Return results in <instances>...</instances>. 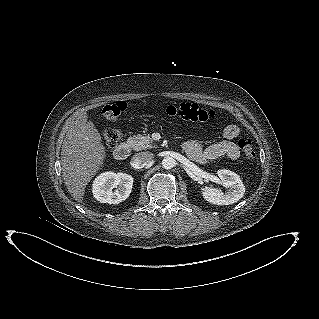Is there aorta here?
<instances>
[{
    "mask_svg": "<svg viewBox=\"0 0 319 319\" xmlns=\"http://www.w3.org/2000/svg\"><path fill=\"white\" fill-rule=\"evenodd\" d=\"M176 164V161L174 158L172 157H165L163 160H162V166L165 168V169H171L175 166Z\"/></svg>",
    "mask_w": 319,
    "mask_h": 319,
    "instance_id": "obj_1",
    "label": "aorta"
}]
</instances>
